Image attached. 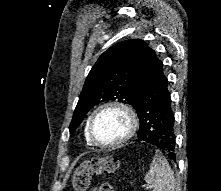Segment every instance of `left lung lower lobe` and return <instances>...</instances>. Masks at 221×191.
<instances>
[{
    "label": "left lung lower lobe",
    "mask_w": 221,
    "mask_h": 191,
    "mask_svg": "<svg viewBox=\"0 0 221 191\" xmlns=\"http://www.w3.org/2000/svg\"><path fill=\"white\" fill-rule=\"evenodd\" d=\"M133 96L140 122L136 141L151 143L176 160L175 119L168 80L163 73V63L148 46L141 61Z\"/></svg>",
    "instance_id": "1"
}]
</instances>
